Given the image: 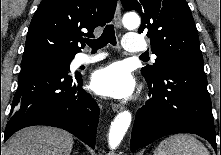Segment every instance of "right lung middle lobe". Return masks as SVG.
<instances>
[{
    "label": "right lung middle lobe",
    "instance_id": "dd1d6c3e",
    "mask_svg": "<svg viewBox=\"0 0 221 155\" xmlns=\"http://www.w3.org/2000/svg\"><path fill=\"white\" fill-rule=\"evenodd\" d=\"M33 57H49V58L55 59L56 61L64 63L68 67L70 65V62L73 59V57H63V56H59L55 54H44V55H38V56H32V57H26V58H33Z\"/></svg>",
    "mask_w": 221,
    "mask_h": 155
}]
</instances>
